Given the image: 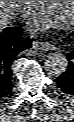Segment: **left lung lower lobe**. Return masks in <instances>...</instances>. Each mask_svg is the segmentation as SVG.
Wrapping results in <instances>:
<instances>
[{
	"instance_id": "0a47b994",
	"label": "left lung lower lobe",
	"mask_w": 74,
	"mask_h": 122,
	"mask_svg": "<svg viewBox=\"0 0 74 122\" xmlns=\"http://www.w3.org/2000/svg\"><path fill=\"white\" fill-rule=\"evenodd\" d=\"M68 67L56 78L58 90L66 95L74 96V51L67 55Z\"/></svg>"
}]
</instances>
